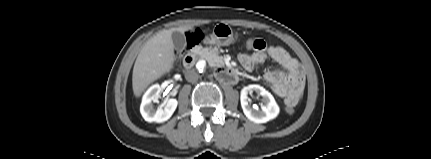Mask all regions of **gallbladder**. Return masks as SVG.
<instances>
[{"label": "gallbladder", "instance_id": "obj_1", "mask_svg": "<svg viewBox=\"0 0 431 159\" xmlns=\"http://www.w3.org/2000/svg\"><path fill=\"white\" fill-rule=\"evenodd\" d=\"M172 40L176 49L181 51L186 47V38L183 33L178 31L173 32Z\"/></svg>", "mask_w": 431, "mask_h": 159}]
</instances>
